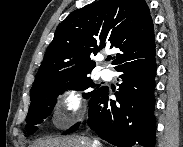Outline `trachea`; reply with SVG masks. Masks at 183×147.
<instances>
[{
	"mask_svg": "<svg viewBox=\"0 0 183 147\" xmlns=\"http://www.w3.org/2000/svg\"><path fill=\"white\" fill-rule=\"evenodd\" d=\"M106 60H107V61H110V60H111V57L107 58Z\"/></svg>",
	"mask_w": 183,
	"mask_h": 147,
	"instance_id": "obj_1",
	"label": "trachea"
}]
</instances>
